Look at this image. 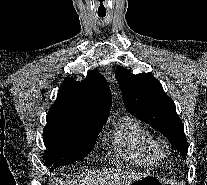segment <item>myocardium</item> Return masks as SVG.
I'll return each instance as SVG.
<instances>
[{
    "mask_svg": "<svg viewBox=\"0 0 207 185\" xmlns=\"http://www.w3.org/2000/svg\"><path fill=\"white\" fill-rule=\"evenodd\" d=\"M156 147L160 155L167 156L171 152L170 144L165 140L156 141Z\"/></svg>",
    "mask_w": 207,
    "mask_h": 185,
    "instance_id": "obj_1",
    "label": "myocardium"
}]
</instances>
